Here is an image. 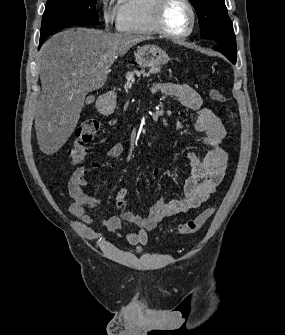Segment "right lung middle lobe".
<instances>
[{
  "mask_svg": "<svg viewBox=\"0 0 285 335\" xmlns=\"http://www.w3.org/2000/svg\"><path fill=\"white\" fill-rule=\"evenodd\" d=\"M97 0H47L43 14L40 39L73 24H90L99 21L95 11Z\"/></svg>",
  "mask_w": 285,
  "mask_h": 335,
  "instance_id": "right-lung-middle-lobe-1",
  "label": "right lung middle lobe"
}]
</instances>
